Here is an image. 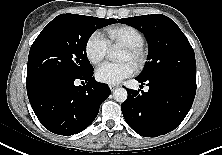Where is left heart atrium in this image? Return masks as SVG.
<instances>
[{"label": "left heart atrium", "instance_id": "1", "mask_svg": "<svg viewBox=\"0 0 222 155\" xmlns=\"http://www.w3.org/2000/svg\"><path fill=\"white\" fill-rule=\"evenodd\" d=\"M134 65L128 61L104 63L96 70L98 81L106 84H117L134 73Z\"/></svg>", "mask_w": 222, "mask_h": 155}]
</instances>
